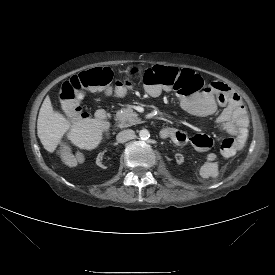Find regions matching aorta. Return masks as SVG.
<instances>
[{"label": "aorta", "instance_id": "obj_1", "mask_svg": "<svg viewBox=\"0 0 275 275\" xmlns=\"http://www.w3.org/2000/svg\"><path fill=\"white\" fill-rule=\"evenodd\" d=\"M139 137L143 140H146L150 137V133L147 129H142L139 131Z\"/></svg>", "mask_w": 275, "mask_h": 275}]
</instances>
